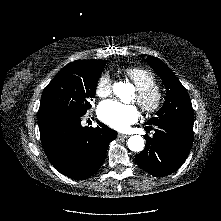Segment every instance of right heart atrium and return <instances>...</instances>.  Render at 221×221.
<instances>
[{
  "mask_svg": "<svg viewBox=\"0 0 221 221\" xmlns=\"http://www.w3.org/2000/svg\"><path fill=\"white\" fill-rule=\"evenodd\" d=\"M113 89V80L109 73H103L97 80L96 83V94L99 97H105L112 92Z\"/></svg>",
  "mask_w": 221,
  "mask_h": 221,
  "instance_id": "1",
  "label": "right heart atrium"
}]
</instances>
